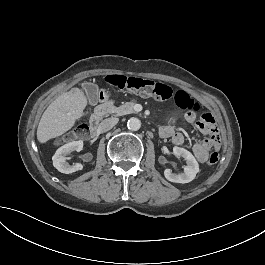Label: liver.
I'll use <instances>...</instances> for the list:
<instances>
[{"instance_id": "liver-1", "label": "liver", "mask_w": 265, "mask_h": 265, "mask_svg": "<svg viewBox=\"0 0 265 265\" xmlns=\"http://www.w3.org/2000/svg\"><path fill=\"white\" fill-rule=\"evenodd\" d=\"M87 99L77 87L61 94L43 112L38 123L36 136L40 144L59 137L71 130L78 122L90 115L84 110Z\"/></svg>"}]
</instances>
